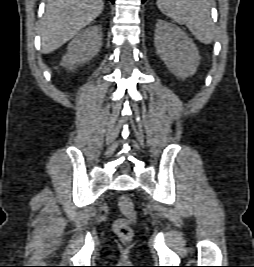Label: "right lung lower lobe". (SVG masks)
<instances>
[{
	"label": "right lung lower lobe",
	"mask_w": 254,
	"mask_h": 267,
	"mask_svg": "<svg viewBox=\"0 0 254 267\" xmlns=\"http://www.w3.org/2000/svg\"><path fill=\"white\" fill-rule=\"evenodd\" d=\"M112 3H114L115 0H110Z\"/></svg>",
	"instance_id": "obj_1"
}]
</instances>
